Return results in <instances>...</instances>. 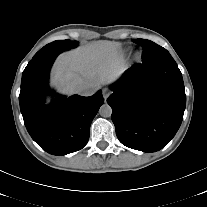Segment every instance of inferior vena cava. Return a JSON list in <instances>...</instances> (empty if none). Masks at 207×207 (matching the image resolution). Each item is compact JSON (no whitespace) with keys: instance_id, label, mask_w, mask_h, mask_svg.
Wrapping results in <instances>:
<instances>
[{"instance_id":"1","label":"inferior vena cava","mask_w":207,"mask_h":207,"mask_svg":"<svg viewBox=\"0 0 207 207\" xmlns=\"http://www.w3.org/2000/svg\"><path fill=\"white\" fill-rule=\"evenodd\" d=\"M96 91L97 87L89 83H81L75 87V92L82 96L93 95Z\"/></svg>"}]
</instances>
